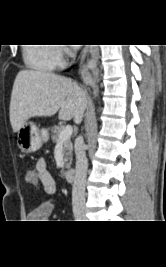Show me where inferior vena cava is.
I'll list each match as a JSON object with an SVG mask.
<instances>
[{"instance_id": "inferior-vena-cava-1", "label": "inferior vena cava", "mask_w": 166, "mask_h": 267, "mask_svg": "<svg viewBox=\"0 0 166 267\" xmlns=\"http://www.w3.org/2000/svg\"><path fill=\"white\" fill-rule=\"evenodd\" d=\"M83 140L81 139L76 146V174L72 188V206L73 211L77 212L85 208V183L88 168V160L84 148L82 146Z\"/></svg>"}]
</instances>
